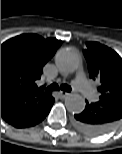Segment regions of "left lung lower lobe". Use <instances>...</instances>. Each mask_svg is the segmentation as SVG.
Instances as JSON below:
<instances>
[{"mask_svg":"<svg viewBox=\"0 0 122 154\" xmlns=\"http://www.w3.org/2000/svg\"><path fill=\"white\" fill-rule=\"evenodd\" d=\"M74 126L89 135H101L111 130L122 118V98L99 99L96 103L87 101L83 112L76 114Z\"/></svg>","mask_w":122,"mask_h":154,"instance_id":"left-lung-lower-lobe-1","label":"left lung lower lobe"}]
</instances>
